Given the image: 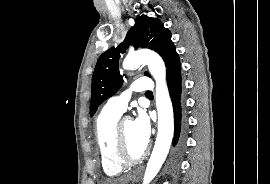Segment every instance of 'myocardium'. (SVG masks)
I'll return each instance as SVG.
<instances>
[{"mask_svg":"<svg viewBox=\"0 0 270 184\" xmlns=\"http://www.w3.org/2000/svg\"><path fill=\"white\" fill-rule=\"evenodd\" d=\"M128 120H131L128 116L120 118L115 127L114 154L116 161L123 166H129L142 161L147 157L150 151V145L147 144L140 155H130L124 134V123Z\"/></svg>","mask_w":270,"mask_h":184,"instance_id":"myocardium-1","label":"myocardium"}]
</instances>
